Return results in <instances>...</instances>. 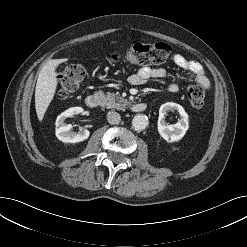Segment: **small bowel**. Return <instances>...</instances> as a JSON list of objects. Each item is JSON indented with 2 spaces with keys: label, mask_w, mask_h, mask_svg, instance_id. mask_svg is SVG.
I'll use <instances>...</instances> for the list:
<instances>
[{
  "label": "small bowel",
  "mask_w": 247,
  "mask_h": 247,
  "mask_svg": "<svg viewBox=\"0 0 247 247\" xmlns=\"http://www.w3.org/2000/svg\"><path fill=\"white\" fill-rule=\"evenodd\" d=\"M173 61L184 72V74H177L175 79L187 77L202 86L205 90L210 89V81L205 74L203 66L199 62L188 60L181 54H175ZM166 76V71L163 68L143 67L129 77V82L133 85H141L148 79H162ZM168 89L172 92L177 91V83L174 80L171 81Z\"/></svg>",
  "instance_id": "c3829d8e"
}]
</instances>
